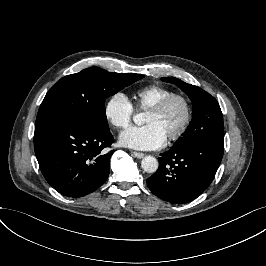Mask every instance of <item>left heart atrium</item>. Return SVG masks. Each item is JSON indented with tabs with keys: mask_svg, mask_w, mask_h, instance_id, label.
Returning a JSON list of instances; mask_svg holds the SVG:
<instances>
[{
	"mask_svg": "<svg viewBox=\"0 0 266 266\" xmlns=\"http://www.w3.org/2000/svg\"><path fill=\"white\" fill-rule=\"evenodd\" d=\"M166 140V134L155 123L129 127L120 135L123 145L140 150L157 149L163 146Z\"/></svg>",
	"mask_w": 266,
	"mask_h": 266,
	"instance_id": "obj_1",
	"label": "left heart atrium"
}]
</instances>
